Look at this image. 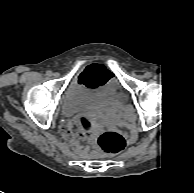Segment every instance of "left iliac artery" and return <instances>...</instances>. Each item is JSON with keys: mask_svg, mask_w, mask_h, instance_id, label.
<instances>
[{"mask_svg": "<svg viewBox=\"0 0 194 193\" xmlns=\"http://www.w3.org/2000/svg\"><path fill=\"white\" fill-rule=\"evenodd\" d=\"M147 76L150 77V73H147Z\"/></svg>", "mask_w": 194, "mask_h": 193, "instance_id": "obj_1", "label": "left iliac artery"}]
</instances>
